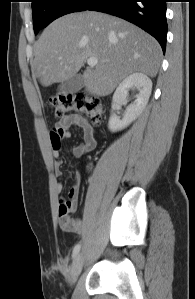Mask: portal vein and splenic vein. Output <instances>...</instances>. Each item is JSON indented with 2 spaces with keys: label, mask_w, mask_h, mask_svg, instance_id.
Listing matches in <instances>:
<instances>
[{
  "label": "portal vein and splenic vein",
  "mask_w": 195,
  "mask_h": 299,
  "mask_svg": "<svg viewBox=\"0 0 195 299\" xmlns=\"http://www.w3.org/2000/svg\"><path fill=\"white\" fill-rule=\"evenodd\" d=\"M98 63V60L97 58L95 57H90L87 59V64L90 66V67H95Z\"/></svg>",
  "instance_id": "18ae733b"
}]
</instances>
